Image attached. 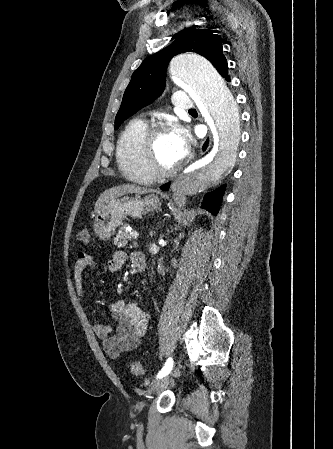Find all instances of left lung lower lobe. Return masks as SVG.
Returning <instances> with one entry per match:
<instances>
[{
    "label": "left lung lower lobe",
    "instance_id": "1",
    "mask_svg": "<svg viewBox=\"0 0 333 449\" xmlns=\"http://www.w3.org/2000/svg\"><path fill=\"white\" fill-rule=\"evenodd\" d=\"M222 77H225L226 80L229 81V76L227 74L222 75ZM225 185L219 187L218 189L207 193L204 197L203 205L202 207L211 212L213 215H217L218 209L222 200V196L225 191ZM162 190H168L169 184L163 185L161 187Z\"/></svg>",
    "mask_w": 333,
    "mask_h": 449
}]
</instances>
